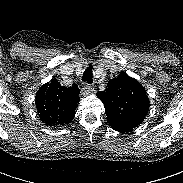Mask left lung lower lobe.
<instances>
[{"label":"left lung lower lobe","instance_id":"obj_1","mask_svg":"<svg viewBox=\"0 0 183 183\" xmlns=\"http://www.w3.org/2000/svg\"><path fill=\"white\" fill-rule=\"evenodd\" d=\"M115 130L118 131V132H128V131H130V130H122V129H119V128H115Z\"/></svg>","mask_w":183,"mask_h":183}]
</instances>
